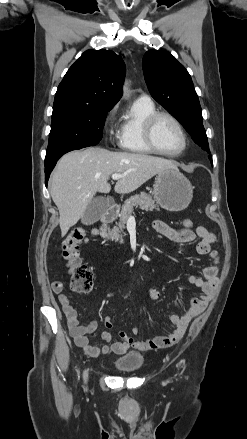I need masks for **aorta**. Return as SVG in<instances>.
Returning a JSON list of instances; mask_svg holds the SVG:
<instances>
[{
    "mask_svg": "<svg viewBox=\"0 0 247 439\" xmlns=\"http://www.w3.org/2000/svg\"><path fill=\"white\" fill-rule=\"evenodd\" d=\"M128 91V88L126 87V85L123 87V92L126 93Z\"/></svg>",
    "mask_w": 247,
    "mask_h": 439,
    "instance_id": "aorta-1",
    "label": "aorta"
}]
</instances>
